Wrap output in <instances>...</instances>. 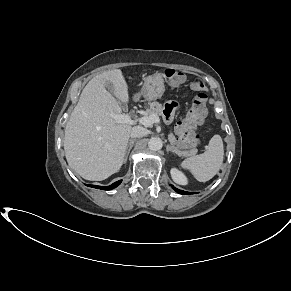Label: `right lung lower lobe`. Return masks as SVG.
I'll use <instances>...</instances> for the list:
<instances>
[{
	"mask_svg": "<svg viewBox=\"0 0 291 291\" xmlns=\"http://www.w3.org/2000/svg\"><path fill=\"white\" fill-rule=\"evenodd\" d=\"M120 183H121V180L111 184L110 186H106V187L97 186V185H88V186L93 187V188H97V189H102V190H111V189L117 187Z\"/></svg>",
	"mask_w": 291,
	"mask_h": 291,
	"instance_id": "1",
	"label": "right lung lower lobe"
}]
</instances>
